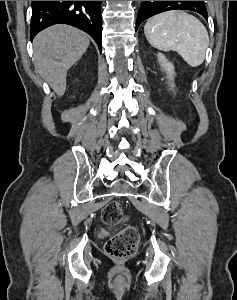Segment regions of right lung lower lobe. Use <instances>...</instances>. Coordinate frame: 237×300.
I'll return each instance as SVG.
<instances>
[{
  "label": "right lung lower lobe",
  "instance_id": "obj_1",
  "mask_svg": "<svg viewBox=\"0 0 237 300\" xmlns=\"http://www.w3.org/2000/svg\"><path fill=\"white\" fill-rule=\"evenodd\" d=\"M31 40L41 30L58 23L88 33L101 50V1H32Z\"/></svg>",
  "mask_w": 237,
  "mask_h": 300
}]
</instances>
